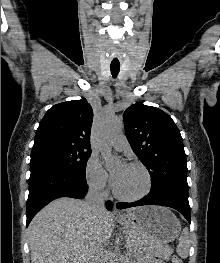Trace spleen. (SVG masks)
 Listing matches in <instances>:
<instances>
[{
	"label": "spleen",
	"mask_w": 220,
	"mask_h": 263,
	"mask_svg": "<svg viewBox=\"0 0 220 263\" xmlns=\"http://www.w3.org/2000/svg\"><path fill=\"white\" fill-rule=\"evenodd\" d=\"M177 253L181 257H187L189 252V232L187 228H184L179 238V244L177 245Z\"/></svg>",
	"instance_id": "3e777b00"
}]
</instances>
